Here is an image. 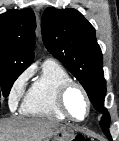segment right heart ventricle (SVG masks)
<instances>
[{
  "label": "right heart ventricle",
  "mask_w": 119,
  "mask_h": 141,
  "mask_svg": "<svg viewBox=\"0 0 119 141\" xmlns=\"http://www.w3.org/2000/svg\"><path fill=\"white\" fill-rule=\"evenodd\" d=\"M70 80V74L62 65L53 60H46L40 74L25 95L22 113L64 121L66 118L57 105V92L62 84Z\"/></svg>",
  "instance_id": "e07e8e85"
}]
</instances>
